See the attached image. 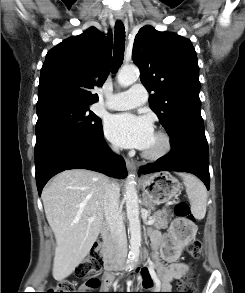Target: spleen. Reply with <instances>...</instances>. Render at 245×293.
I'll list each match as a JSON object with an SVG mask.
<instances>
[{
  "mask_svg": "<svg viewBox=\"0 0 245 293\" xmlns=\"http://www.w3.org/2000/svg\"><path fill=\"white\" fill-rule=\"evenodd\" d=\"M186 193L190 200L191 211L196 219H203L207 207V191L204 184L191 174H181Z\"/></svg>",
  "mask_w": 245,
  "mask_h": 293,
  "instance_id": "3e777b00",
  "label": "spleen"
}]
</instances>
